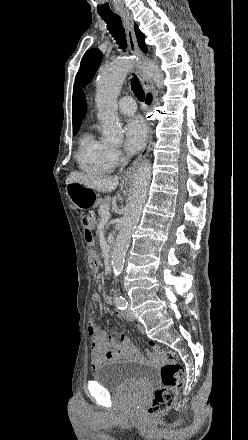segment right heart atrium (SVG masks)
I'll use <instances>...</instances> for the list:
<instances>
[{
    "mask_svg": "<svg viewBox=\"0 0 248 440\" xmlns=\"http://www.w3.org/2000/svg\"><path fill=\"white\" fill-rule=\"evenodd\" d=\"M122 158L121 151L117 148H110L109 149V159L112 165H115L120 162Z\"/></svg>",
    "mask_w": 248,
    "mask_h": 440,
    "instance_id": "1",
    "label": "right heart atrium"
}]
</instances>
